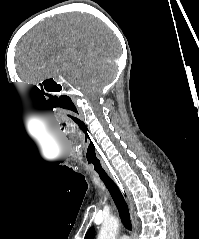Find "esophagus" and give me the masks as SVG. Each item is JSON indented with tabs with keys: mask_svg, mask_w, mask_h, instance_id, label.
Returning a JSON list of instances; mask_svg holds the SVG:
<instances>
[{
	"mask_svg": "<svg viewBox=\"0 0 199 239\" xmlns=\"http://www.w3.org/2000/svg\"><path fill=\"white\" fill-rule=\"evenodd\" d=\"M111 177L113 178V180L116 182V184L119 186L120 190L122 191L124 198L129 206V208L131 210H133V200L131 197V194L127 188V186L125 185L124 181L120 178V176L118 175H111ZM132 227H133V236H135V230H136V223L135 220H132ZM135 239V238H133Z\"/></svg>",
	"mask_w": 199,
	"mask_h": 239,
	"instance_id": "34e87169",
	"label": "esophagus"
}]
</instances>
